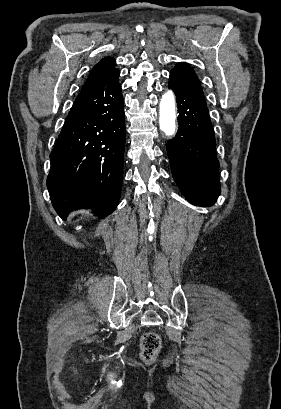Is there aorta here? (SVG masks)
I'll list each match as a JSON object with an SVG mask.
<instances>
[{
	"instance_id": "1",
	"label": "aorta",
	"mask_w": 281,
	"mask_h": 409,
	"mask_svg": "<svg viewBox=\"0 0 281 409\" xmlns=\"http://www.w3.org/2000/svg\"><path fill=\"white\" fill-rule=\"evenodd\" d=\"M159 124L161 130L171 136L176 129V101L174 93L169 90L163 94L159 108Z\"/></svg>"
}]
</instances>
